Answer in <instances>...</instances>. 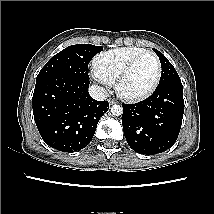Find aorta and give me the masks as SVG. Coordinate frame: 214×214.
I'll list each match as a JSON object with an SVG mask.
<instances>
[{"label": "aorta", "instance_id": "1", "mask_svg": "<svg viewBox=\"0 0 214 214\" xmlns=\"http://www.w3.org/2000/svg\"><path fill=\"white\" fill-rule=\"evenodd\" d=\"M111 113H112L113 115H115V116H120V115H122V113H123V108H122V106L117 105V104L113 105V106L111 107Z\"/></svg>", "mask_w": 214, "mask_h": 214}]
</instances>
